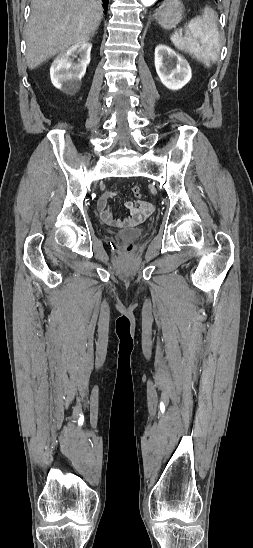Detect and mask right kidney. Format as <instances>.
Masks as SVG:
<instances>
[{"mask_svg":"<svg viewBox=\"0 0 253 548\" xmlns=\"http://www.w3.org/2000/svg\"><path fill=\"white\" fill-rule=\"evenodd\" d=\"M91 47L92 44L88 42L77 43L56 57L50 68L51 81L56 88L65 93H72L79 88L90 63ZM78 55L77 63H74Z\"/></svg>","mask_w":253,"mask_h":548,"instance_id":"ca27d5eb","label":"right kidney"}]
</instances>
